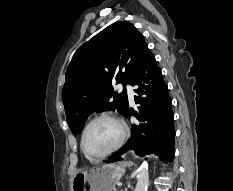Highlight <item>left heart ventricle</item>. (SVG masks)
Wrapping results in <instances>:
<instances>
[{"mask_svg": "<svg viewBox=\"0 0 233 191\" xmlns=\"http://www.w3.org/2000/svg\"><path fill=\"white\" fill-rule=\"evenodd\" d=\"M120 127L113 121L102 119L94 122L87 130L85 148L91 155L107 152L118 140Z\"/></svg>", "mask_w": 233, "mask_h": 191, "instance_id": "b2bd125f", "label": "left heart ventricle"}]
</instances>
